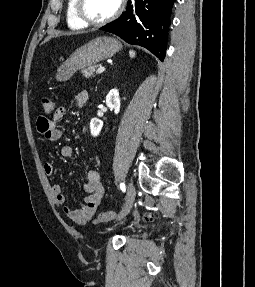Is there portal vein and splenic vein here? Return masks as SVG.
I'll return each instance as SVG.
<instances>
[{
	"mask_svg": "<svg viewBox=\"0 0 255 287\" xmlns=\"http://www.w3.org/2000/svg\"><path fill=\"white\" fill-rule=\"evenodd\" d=\"M102 72H105V68H98L96 74H102Z\"/></svg>",
	"mask_w": 255,
	"mask_h": 287,
	"instance_id": "1",
	"label": "portal vein and splenic vein"
}]
</instances>
